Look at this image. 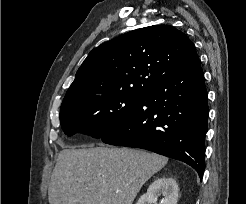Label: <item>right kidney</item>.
Wrapping results in <instances>:
<instances>
[{
	"mask_svg": "<svg viewBox=\"0 0 246 204\" xmlns=\"http://www.w3.org/2000/svg\"><path fill=\"white\" fill-rule=\"evenodd\" d=\"M178 185L176 181L169 177L156 179L142 195L136 204H157L158 198L162 196V204H177Z\"/></svg>",
	"mask_w": 246,
	"mask_h": 204,
	"instance_id": "ca27d5eb",
	"label": "right kidney"
}]
</instances>
